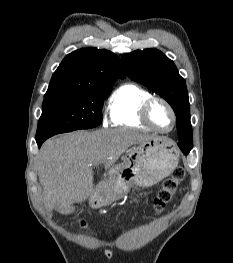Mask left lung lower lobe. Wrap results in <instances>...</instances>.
Masks as SVG:
<instances>
[{"instance_id":"0a47b994","label":"left lung lower lobe","mask_w":233,"mask_h":263,"mask_svg":"<svg viewBox=\"0 0 233 263\" xmlns=\"http://www.w3.org/2000/svg\"><path fill=\"white\" fill-rule=\"evenodd\" d=\"M178 146L185 155H187L192 148V146H190V144L186 140H183V139H180Z\"/></svg>"}]
</instances>
